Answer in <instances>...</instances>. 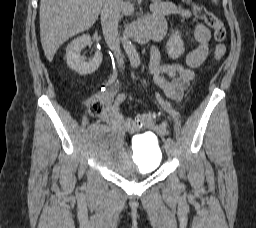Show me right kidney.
<instances>
[{
  "instance_id": "right-kidney-1",
  "label": "right kidney",
  "mask_w": 256,
  "mask_h": 228,
  "mask_svg": "<svg viewBox=\"0 0 256 228\" xmlns=\"http://www.w3.org/2000/svg\"><path fill=\"white\" fill-rule=\"evenodd\" d=\"M88 45H91V37L84 34L74 39L66 49L67 65L82 76L94 73L102 62L101 52H96L94 58L89 62L84 60L81 50Z\"/></svg>"
}]
</instances>
